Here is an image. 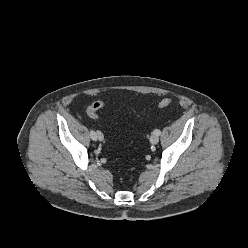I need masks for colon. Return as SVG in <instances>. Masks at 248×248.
I'll return each mask as SVG.
<instances>
[{
	"instance_id": "obj_1",
	"label": "colon",
	"mask_w": 248,
	"mask_h": 248,
	"mask_svg": "<svg viewBox=\"0 0 248 248\" xmlns=\"http://www.w3.org/2000/svg\"><path fill=\"white\" fill-rule=\"evenodd\" d=\"M173 100L171 98H164L158 103L159 108H166L169 105H171ZM104 103L102 101H96L92 103L88 109H87V114L90 118L92 119H97L98 118V110L104 107Z\"/></svg>"
}]
</instances>
